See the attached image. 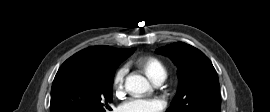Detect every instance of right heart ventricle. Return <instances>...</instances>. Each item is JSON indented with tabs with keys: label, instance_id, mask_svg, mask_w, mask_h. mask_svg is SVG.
<instances>
[{
	"label": "right heart ventricle",
	"instance_id": "right-heart-ventricle-1",
	"mask_svg": "<svg viewBox=\"0 0 270 112\" xmlns=\"http://www.w3.org/2000/svg\"><path fill=\"white\" fill-rule=\"evenodd\" d=\"M138 64L152 81L160 77H166L165 65L155 56L146 57L140 60Z\"/></svg>",
	"mask_w": 270,
	"mask_h": 112
}]
</instances>
